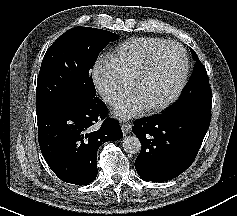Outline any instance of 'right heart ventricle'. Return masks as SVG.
<instances>
[{"instance_id": "obj_1", "label": "right heart ventricle", "mask_w": 237, "mask_h": 216, "mask_svg": "<svg viewBox=\"0 0 237 216\" xmlns=\"http://www.w3.org/2000/svg\"><path fill=\"white\" fill-rule=\"evenodd\" d=\"M166 52H168V46L158 36H150L140 44L132 43L122 46L117 53L109 56L111 75L126 84L134 78L137 70L148 66Z\"/></svg>"}]
</instances>
